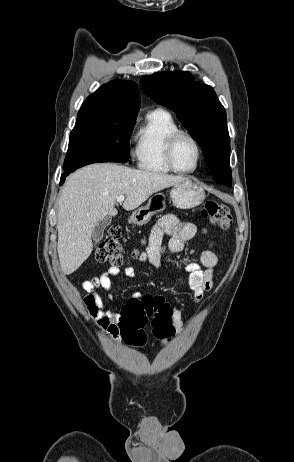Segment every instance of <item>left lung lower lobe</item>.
Masks as SVG:
<instances>
[{"instance_id": "left-lung-lower-lobe-1", "label": "left lung lower lobe", "mask_w": 294, "mask_h": 462, "mask_svg": "<svg viewBox=\"0 0 294 462\" xmlns=\"http://www.w3.org/2000/svg\"><path fill=\"white\" fill-rule=\"evenodd\" d=\"M214 180L216 182L225 184L227 186H231L232 176H231V174H228V175L215 174L214 175Z\"/></svg>"}]
</instances>
